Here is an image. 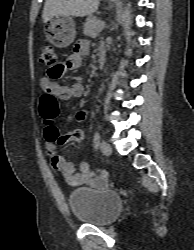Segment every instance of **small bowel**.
<instances>
[{
  "instance_id": "obj_1",
  "label": "small bowel",
  "mask_w": 194,
  "mask_h": 250,
  "mask_svg": "<svg viewBox=\"0 0 194 250\" xmlns=\"http://www.w3.org/2000/svg\"><path fill=\"white\" fill-rule=\"evenodd\" d=\"M90 51V45L87 41H80L73 54H71L67 60L57 65V75L60 77L67 70L77 69L82 64V57L87 55ZM42 87L53 94L56 99L60 101H68L72 98H79L83 95L84 87L81 83H73L71 85H62L55 83L50 79V76H45L41 80ZM85 112L80 111L74 116H69L68 120L82 121L85 118ZM46 123L44 129L45 138V148L48 152L53 168L61 173L65 178L66 182L71 186H80L89 183L92 180V175L90 173L89 164L87 162H82L79 167V172H74L73 164L66 160L62 155L58 154L55 150L56 142L66 143L72 139L66 135H60L56 126L53 125L54 119L43 118ZM84 139V135L82 133ZM82 139V140H83ZM81 140V141H82Z\"/></svg>"
}]
</instances>
